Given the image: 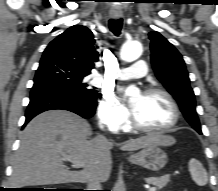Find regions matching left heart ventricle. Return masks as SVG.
<instances>
[{"label": "left heart ventricle", "instance_id": "b2bd125f", "mask_svg": "<svg viewBox=\"0 0 218 191\" xmlns=\"http://www.w3.org/2000/svg\"><path fill=\"white\" fill-rule=\"evenodd\" d=\"M132 106L137 121L145 127L162 128L173 119L172 107L162 95H138Z\"/></svg>", "mask_w": 218, "mask_h": 191}]
</instances>
